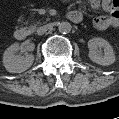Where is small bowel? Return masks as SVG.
Listing matches in <instances>:
<instances>
[{
  "instance_id": "1",
  "label": "small bowel",
  "mask_w": 119,
  "mask_h": 119,
  "mask_svg": "<svg viewBox=\"0 0 119 119\" xmlns=\"http://www.w3.org/2000/svg\"><path fill=\"white\" fill-rule=\"evenodd\" d=\"M90 6L94 10L108 12L107 15H101L94 18L93 25L96 30L104 31L119 26V0H92ZM77 12L81 13V11Z\"/></svg>"
}]
</instances>
